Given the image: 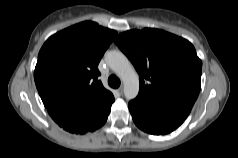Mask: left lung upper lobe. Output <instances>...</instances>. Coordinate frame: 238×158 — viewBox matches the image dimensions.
Segmentation results:
<instances>
[{"instance_id":"5c2ea615","label":"left lung upper lobe","mask_w":238,"mask_h":158,"mask_svg":"<svg viewBox=\"0 0 238 158\" xmlns=\"http://www.w3.org/2000/svg\"><path fill=\"white\" fill-rule=\"evenodd\" d=\"M115 43L139 73L140 90L135 100L152 107L195 103L202 62L189 41L145 28L124 32Z\"/></svg>"}]
</instances>
